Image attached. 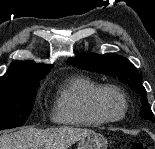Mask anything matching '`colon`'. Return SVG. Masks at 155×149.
Masks as SVG:
<instances>
[{
  "label": "colon",
  "instance_id": "colon-1",
  "mask_svg": "<svg viewBox=\"0 0 155 149\" xmlns=\"http://www.w3.org/2000/svg\"><path fill=\"white\" fill-rule=\"evenodd\" d=\"M129 149H148V146L144 143L136 142L133 143Z\"/></svg>",
  "mask_w": 155,
  "mask_h": 149
}]
</instances>
